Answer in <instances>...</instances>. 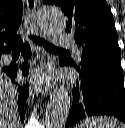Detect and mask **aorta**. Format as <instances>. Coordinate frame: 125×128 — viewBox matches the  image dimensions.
<instances>
[{
  "instance_id": "aorta-1",
  "label": "aorta",
  "mask_w": 125,
  "mask_h": 128,
  "mask_svg": "<svg viewBox=\"0 0 125 128\" xmlns=\"http://www.w3.org/2000/svg\"><path fill=\"white\" fill-rule=\"evenodd\" d=\"M40 27L48 36H54L64 31L65 16L56 6H44L38 12ZM71 108V95L64 85L57 86L47 104L45 112L46 128H63Z\"/></svg>"
}]
</instances>
